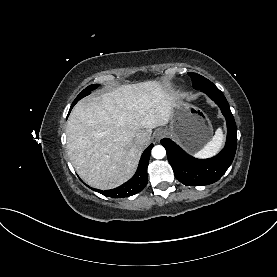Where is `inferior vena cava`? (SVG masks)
I'll return each instance as SVG.
<instances>
[{
    "label": "inferior vena cava",
    "instance_id": "inferior-vena-cava-1",
    "mask_svg": "<svg viewBox=\"0 0 277 277\" xmlns=\"http://www.w3.org/2000/svg\"><path fill=\"white\" fill-rule=\"evenodd\" d=\"M149 140V135L145 131H139L135 134V141L138 144H144Z\"/></svg>",
    "mask_w": 277,
    "mask_h": 277
}]
</instances>
